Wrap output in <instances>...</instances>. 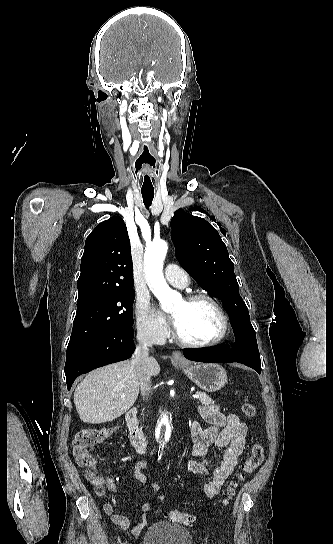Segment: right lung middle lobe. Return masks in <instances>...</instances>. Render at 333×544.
Segmentation results:
<instances>
[{
	"label": "right lung middle lobe",
	"mask_w": 333,
	"mask_h": 544,
	"mask_svg": "<svg viewBox=\"0 0 333 544\" xmlns=\"http://www.w3.org/2000/svg\"><path fill=\"white\" fill-rule=\"evenodd\" d=\"M134 299V290H116L78 300L67 353L133 325Z\"/></svg>",
	"instance_id": "right-lung-middle-lobe-1"
}]
</instances>
